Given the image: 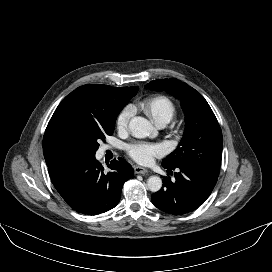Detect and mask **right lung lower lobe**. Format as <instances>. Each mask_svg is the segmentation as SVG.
<instances>
[{
  "label": "right lung lower lobe",
  "instance_id": "right-lung-lower-lobe-1",
  "mask_svg": "<svg viewBox=\"0 0 272 272\" xmlns=\"http://www.w3.org/2000/svg\"><path fill=\"white\" fill-rule=\"evenodd\" d=\"M53 185L66 203L79 213L96 215L114 208L124 183L134 170L123 158L114 159L104 171L95 155L51 164Z\"/></svg>",
  "mask_w": 272,
  "mask_h": 272
}]
</instances>
